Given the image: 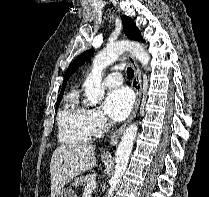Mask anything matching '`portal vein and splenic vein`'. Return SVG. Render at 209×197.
Segmentation results:
<instances>
[{
  "label": "portal vein and splenic vein",
  "mask_w": 209,
  "mask_h": 197,
  "mask_svg": "<svg viewBox=\"0 0 209 197\" xmlns=\"http://www.w3.org/2000/svg\"><path fill=\"white\" fill-rule=\"evenodd\" d=\"M95 188H96V181L93 179L86 184L84 192H91Z\"/></svg>",
  "instance_id": "1"
}]
</instances>
